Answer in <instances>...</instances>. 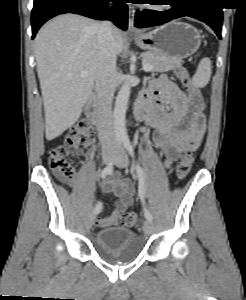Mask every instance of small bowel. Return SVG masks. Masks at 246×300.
<instances>
[{"label":"small bowel","instance_id":"small-bowel-1","mask_svg":"<svg viewBox=\"0 0 246 300\" xmlns=\"http://www.w3.org/2000/svg\"><path fill=\"white\" fill-rule=\"evenodd\" d=\"M143 101L149 107L143 118V130H154V145L165 155V166L170 168L186 149H196L200 145L206 129L203 106L197 107L166 75L152 82ZM63 179L66 183H74L72 179ZM103 190L114 193L118 200L115 210L106 217L97 218L95 223L98 227L114 226L132 205L135 191L131 181L118 174L106 181Z\"/></svg>","mask_w":246,"mask_h":300}]
</instances>
